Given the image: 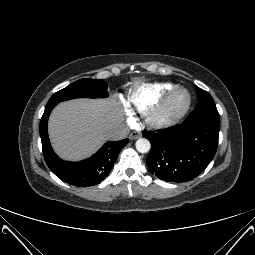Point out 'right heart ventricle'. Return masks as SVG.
I'll use <instances>...</instances> for the list:
<instances>
[{
  "label": "right heart ventricle",
  "mask_w": 255,
  "mask_h": 255,
  "mask_svg": "<svg viewBox=\"0 0 255 255\" xmlns=\"http://www.w3.org/2000/svg\"><path fill=\"white\" fill-rule=\"evenodd\" d=\"M177 87L173 83H155L136 89L130 96L131 105L138 111H148L170 90Z\"/></svg>",
  "instance_id": "1"
}]
</instances>
